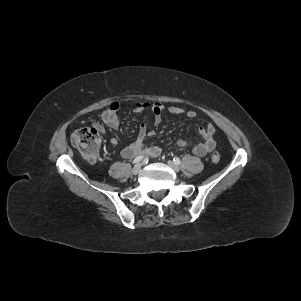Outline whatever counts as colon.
I'll return each instance as SVG.
<instances>
[{
	"mask_svg": "<svg viewBox=\"0 0 301 301\" xmlns=\"http://www.w3.org/2000/svg\"><path fill=\"white\" fill-rule=\"evenodd\" d=\"M71 142L79 150L82 157L88 162H95L99 156V133L93 127L78 128L71 136ZM213 163L221 159L219 152H213L211 156Z\"/></svg>",
	"mask_w": 301,
	"mask_h": 301,
	"instance_id": "colon-1",
	"label": "colon"
}]
</instances>
